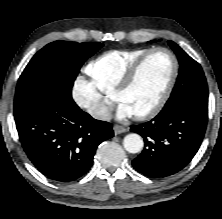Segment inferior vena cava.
Returning <instances> with one entry per match:
<instances>
[{
	"label": "inferior vena cava",
	"mask_w": 222,
	"mask_h": 219,
	"mask_svg": "<svg viewBox=\"0 0 222 219\" xmlns=\"http://www.w3.org/2000/svg\"><path fill=\"white\" fill-rule=\"evenodd\" d=\"M93 117L101 120H110L111 113L109 111H101L99 109H95L92 111Z\"/></svg>",
	"instance_id": "inferior-vena-cava-1"
}]
</instances>
